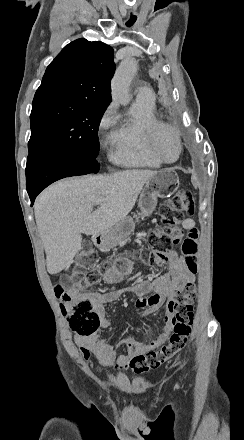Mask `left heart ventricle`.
<instances>
[{
  "label": "left heart ventricle",
  "instance_id": "b2bd125f",
  "mask_svg": "<svg viewBox=\"0 0 244 440\" xmlns=\"http://www.w3.org/2000/svg\"><path fill=\"white\" fill-rule=\"evenodd\" d=\"M160 143L162 145L158 147V149L163 156L167 159H173L176 153V139L174 135L165 133V135L161 137Z\"/></svg>",
  "mask_w": 244,
  "mask_h": 440
}]
</instances>
